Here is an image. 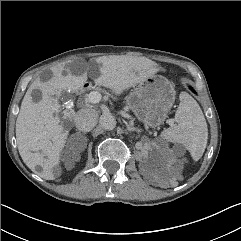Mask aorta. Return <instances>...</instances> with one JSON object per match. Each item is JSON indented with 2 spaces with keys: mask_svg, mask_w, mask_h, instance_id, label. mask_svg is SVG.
Returning <instances> with one entry per match:
<instances>
[{
  "mask_svg": "<svg viewBox=\"0 0 241 241\" xmlns=\"http://www.w3.org/2000/svg\"><path fill=\"white\" fill-rule=\"evenodd\" d=\"M99 125L104 130H113L116 126V119L111 113H103L99 118Z\"/></svg>",
  "mask_w": 241,
  "mask_h": 241,
  "instance_id": "762f6f07",
  "label": "aorta"
}]
</instances>
